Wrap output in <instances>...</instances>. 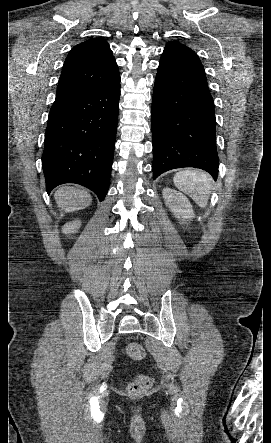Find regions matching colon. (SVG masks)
I'll return each mask as SVG.
<instances>
[{
	"label": "colon",
	"instance_id": "obj_1",
	"mask_svg": "<svg viewBox=\"0 0 271 443\" xmlns=\"http://www.w3.org/2000/svg\"><path fill=\"white\" fill-rule=\"evenodd\" d=\"M125 354L133 360H141L145 356V349L137 342H130L124 349ZM151 386V380L147 375H137L128 386V393L131 396H138L144 393Z\"/></svg>",
	"mask_w": 271,
	"mask_h": 443
}]
</instances>
